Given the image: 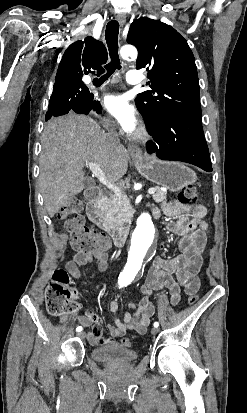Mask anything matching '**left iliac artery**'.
<instances>
[{"instance_id":"obj_1","label":"left iliac artery","mask_w":247,"mask_h":413,"mask_svg":"<svg viewBox=\"0 0 247 413\" xmlns=\"http://www.w3.org/2000/svg\"><path fill=\"white\" fill-rule=\"evenodd\" d=\"M159 326V323L158 322H155L154 323V327H158Z\"/></svg>"}]
</instances>
